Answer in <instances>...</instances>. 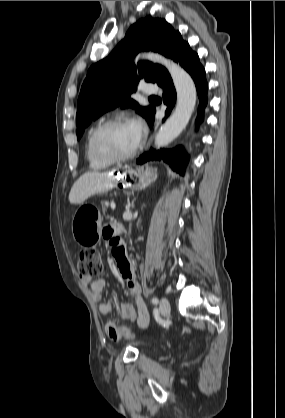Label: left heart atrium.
I'll use <instances>...</instances> for the list:
<instances>
[{"label": "left heart atrium", "mask_w": 285, "mask_h": 418, "mask_svg": "<svg viewBox=\"0 0 285 418\" xmlns=\"http://www.w3.org/2000/svg\"><path fill=\"white\" fill-rule=\"evenodd\" d=\"M126 125L133 134L135 141L138 142L144 130V124L142 120L138 117H132L129 119Z\"/></svg>", "instance_id": "39dd6f15"}]
</instances>
